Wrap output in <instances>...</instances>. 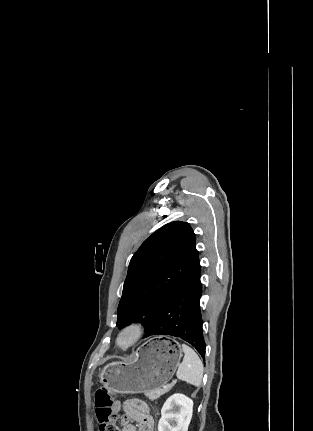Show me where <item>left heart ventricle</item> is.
I'll list each match as a JSON object with an SVG mask.
<instances>
[{
	"label": "left heart ventricle",
	"instance_id": "b2bd125f",
	"mask_svg": "<svg viewBox=\"0 0 313 431\" xmlns=\"http://www.w3.org/2000/svg\"><path fill=\"white\" fill-rule=\"evenodd\" d=\"M129 340H130V336H129V335H125V336L121 339V343H122V344H126Z\"/></svg>",
	"mask_w": 313,
	"mask_h": 431
}]
</instances>
